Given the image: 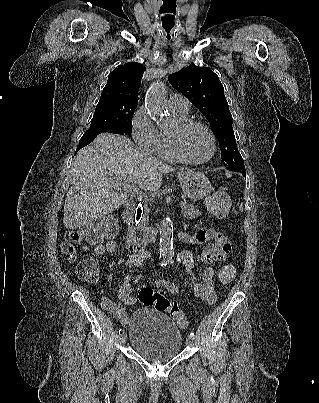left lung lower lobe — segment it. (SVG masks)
<instances>
[{
	"label": "left lung lower lobe",
	"instance_id": "obj_1",
	"mask_svg": "<svg viewBox=\"0 0 319 403\" xmlns=\"http://www.w3.org/2000/svg\"><path fill=\"white\" fill-rule=\"evenodd\" d=\"M227 169H228V170H232V171H236V172H239V173H242V175L246 177L245 169H238V168H234V167H230V166H228Z\"/></svg>",
	"mask_w": 319,
	"mask_h": 403
}]
</instances>
